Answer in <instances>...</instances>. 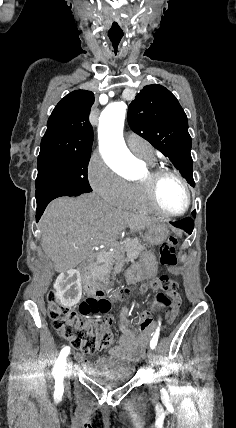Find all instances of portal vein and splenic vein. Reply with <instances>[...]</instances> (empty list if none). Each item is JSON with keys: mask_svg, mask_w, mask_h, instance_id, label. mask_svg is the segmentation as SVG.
Here are the masks:
<instances>
[{"mask_svg": "<svg viewBox=\"0 0 236 428\" xmlns=\"http://www.w3.org/2000/svg\"><path fill=\"white\" fill-rule=\"evenodd\" d=\"M110 246H115V244H110Z\"/></svg>", "mask_w": 236, "mask_h": 428, "instance_id": "obj_1", "label": "portal vein and splenic vein"}]
</instances>
